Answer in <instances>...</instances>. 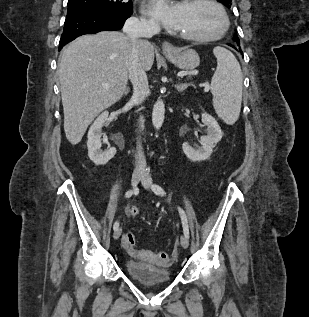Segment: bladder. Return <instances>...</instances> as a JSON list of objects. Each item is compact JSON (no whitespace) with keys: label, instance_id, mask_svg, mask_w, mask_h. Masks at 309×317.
Instances as JSON below:
<instances>
[{"label":"bladder","instance_id":"1","mask_svg":"<svg viewBox=\"0 0 309 317\" xmlns=\"http://www.w3.org/2000/svg\"><path fill=\"white\" fill-rule=\"evenodd\" d=\"M125 271L131 279L147 287L166 284L171 280L168 268L132 258L125 261Z\"/></svg>","mask_w":309,"mask_h":317}]
</instances>
